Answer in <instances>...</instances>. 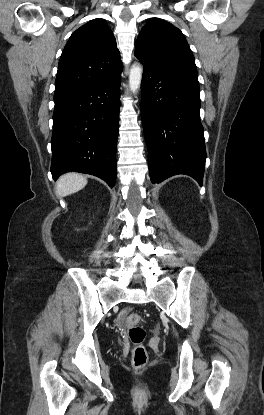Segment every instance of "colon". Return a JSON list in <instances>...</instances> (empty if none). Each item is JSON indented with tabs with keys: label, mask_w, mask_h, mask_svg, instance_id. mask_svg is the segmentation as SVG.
Returning <instances> with one entry per match:
<instances>
[{
	"label": "colon",
	"mask_w": 264,
	"mask_h": 415,
	"mask_svg": "<svg viewBox=\"0 0 264 415\" xmlns=\"http://www.w3.org/2000/svg\"><path fill=\"white\" fill-rule=\"evenodd\" d=\"M127 323L129 325V337L134 346L132 350V364L136 369H142L148 362V353L143 346L146 336L145 330L141 327V314L131 312L127 315Z\"/></svg>",
	"instance_id": "1"
}]
</instances>
